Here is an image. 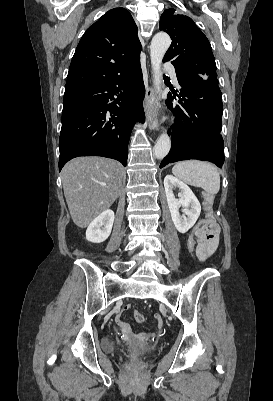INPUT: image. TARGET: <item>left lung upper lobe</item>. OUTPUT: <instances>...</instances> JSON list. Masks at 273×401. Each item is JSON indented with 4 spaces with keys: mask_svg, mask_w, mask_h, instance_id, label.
<instances>
[{
    "mask_svg": "<svg viewBox=\"0 0 273 401\" xmlns=\"http://www.w3.org/2000/svg\"><path fill=\"white\" fill-rule=\"evenodd\" d=\"M159 29L167 32L172 39L164 61L172 60L171 63L185 75L217 76L211 45L190 17L175 14L173 9L165 10Z\"/></svg>",
    "mask_w": 273,
    "mask_h": 401,
    "instance_id": "1",
    "label": "left lung upper lobe"
}]
</instances>
